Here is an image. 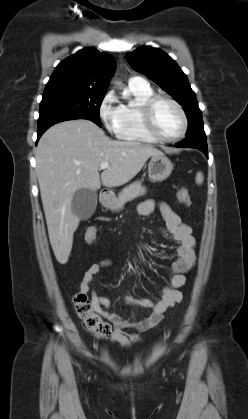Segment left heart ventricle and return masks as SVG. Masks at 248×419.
<instances>
[{"label": "left heart ventricle", "instance_id": "1", "mask_svg": "<svg viewBox=\"0 0 248 419\" xmlns=\"http://www.w3.org/2000/svg\"><path fill=\"white\" fill-rule=\"evenodd\" d=\"M156 131L163 137H174L182 128V120L177 109L167 101H159L153 109Z\"/></svg>", "mask_w": 248, "mask_h": 419}]
</instances>
